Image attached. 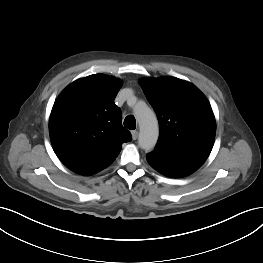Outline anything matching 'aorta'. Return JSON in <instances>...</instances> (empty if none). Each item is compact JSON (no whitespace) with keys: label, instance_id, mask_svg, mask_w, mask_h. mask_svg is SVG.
Returning a JSON list of instances; mask_svg holds the SVG:
<instances>
[{"label":"aorta","instance_id":"obj_1","mask_svg":"<svg viewBox=\"0 0 263 263\" xmlns=\"http://www.w3.org/2000/svg\"><path fill=\"white\" fill-rule=\"evenodd\" d=\"M134 114L139 124L138 145L145 151L152 150L159 137V124L156 114L146 104L137 105Z\"/></svg>","mask_w":263,"mask_h":263}]
</instances>
